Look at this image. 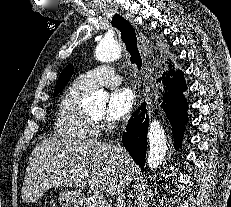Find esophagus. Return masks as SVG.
<instances>
[{
	"instance_id": "obj_1",
	"label": "esophagus",
	"mask_w": 231,
	"mask_h": 207,
	"mask_svg": "<svg viewBox=\"0 0 231 207\" xmlns=\"http://www.w3.org/2000/svg\"><path fill=\"white\" fill-rule=\"evenodd\" d=\"M126 18L137 28L136 21L131 16L126 15ZM138 34H139L140 50L142 51V54L145 57V59H150L151 54H152V47L149 43V40L139 30H138Z\"/></svg>"
}]
</instances>
